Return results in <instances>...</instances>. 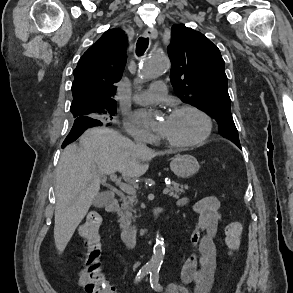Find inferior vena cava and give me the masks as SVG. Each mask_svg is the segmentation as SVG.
<instances>
[{
  "instance_id": "602c4592",
  "label": "inferior vena cava",
  "mask_w": 293,
  "mask_h": 293,
  "mask_svg": "<svg viewBox=\"0 0 293 293\" xmlns=\"http://www.w3.org/2000/svg\"><path fill=\"white\" fill-rule=\"evenodd\" d=\"M135 140V142H136V145L137 146H140V147H145V145L141 142V140L140 139H138V138H135L134 139Z\"/></svg>"
}]
</instances>
